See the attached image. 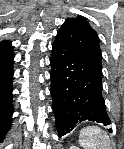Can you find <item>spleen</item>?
I'll list each match as a JSON object with an SVG mask.
<instances>
[{
	"label": "spleen",
	"mask_w": 124,
	"mask_h": 149,
	"mask_svg": "<svg viewBox=\"0 0 124 149\" xmlns=\"http://www.w3.org/2000/svg\"><path fill=\"white\" fill-rule=\"evenodd\" d=\"M108 142V136L98 127H87L80 133L79 143L84 149H106Z\"/></svg>",
	"instance_id": "spleen-1"
}]
</instances>
